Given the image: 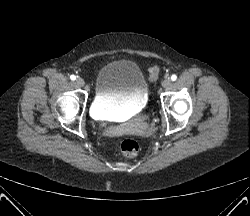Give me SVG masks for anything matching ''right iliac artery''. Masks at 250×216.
<instances>
[{"instance_id": "right-iliac-artery-1", "label": "right iliac artery", "mask_w": 250, "mask_h": 216, "mask_svg": "<svg viewBox=\"0 0 250 216\" xmlns=\"http://www.w3.org/2000/svg\"><path fill=\"white\" fill-rule=\"evenodd\" d=\"M70 79L74 81V80H76V76L75 75H71Z\"/></svg>"}]
</instances>
